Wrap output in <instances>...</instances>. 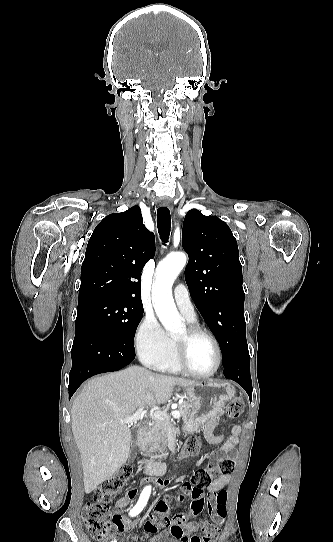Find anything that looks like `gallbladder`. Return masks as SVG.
<instances>
[{
	"mask_svg": "<svg viewBox=\"0 0 333 542\" xmlns=\"http://www.w3.org/2000/svg\"><path fill=\"white\" fill-rule=\"evenodd\" d=\"M137 434H138V428H132L131 430V448H130V456H129V462H133L134 458L137 456Z\"/></svg>",
	"mask_w": 333,
	"mask_h": 542,
	"instance_id": "obj_1",
	"label": "gallbladder"
}]
</instances>
